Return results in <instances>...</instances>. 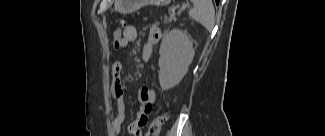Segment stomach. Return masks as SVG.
<instances>
[{"label":"stomach","instance_id":"stomach-1","mask_svg":"<svg viewBox=\"0 0 325 136\" xmlns=\"http://www.w3.org/2000/svg\"><path fill=\"white\" fill-rule=\"evenodd\" d=\"M145 2L152 3L157 6L167 5L170 0H116L115 8L121 13H130L137 10Z\"/></svg>","mask_w":325,"mask_h":136}]
</instances>
